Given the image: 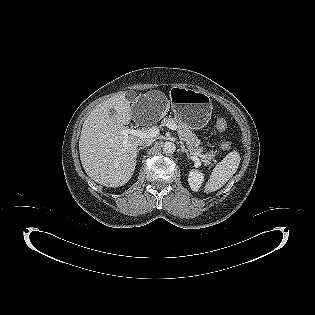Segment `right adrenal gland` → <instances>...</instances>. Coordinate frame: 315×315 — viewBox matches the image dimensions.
Segmentation results:
<instances>
[{
	"label": "right adrenal gland",
	"mask_w": 315,
	"mask_h": 315,
	"mask_svg": "<svg viewBox=\"0 0 315 315\" xmlns=\"http://www.w3.org/2000/svg\"><path fill=\"white\" fill-rule=\"evenodd\" d=\"M145 148H146V146L139 147V148L137 149V153H139L140 150L145 149Z\"/></svg>",
	"instance_id": "right-adrenal-gland-1"
}]
</instances>
